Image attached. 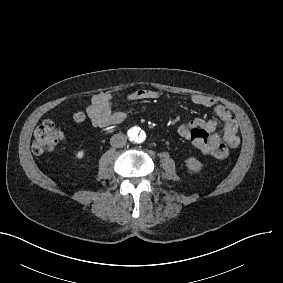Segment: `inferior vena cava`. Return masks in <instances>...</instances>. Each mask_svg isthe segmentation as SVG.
<instances>
[{"instance_id":"obj_1","label":"inferior vena cava","mask_w":283,"mask_h":283,"mask_svg":"<svg viewBox=\"0 0 283 283\" xmlns=\"http://www.w3.org/2000/svg\"><path fill=\"white\" fill-rule=\"evenodd\" d=\"M127 143V137L123 133L114 134L110 138V145L115 148H122Z\"/></svg>"}]
</instances>
